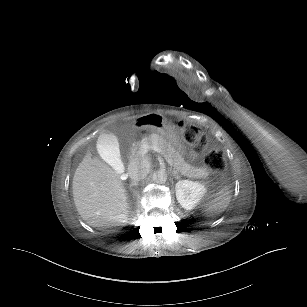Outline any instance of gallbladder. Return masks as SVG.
<instances>
[{
    "label": "gallbladder",
    "mask_w": 307,
    "mask_h": 307,
    "mask_svg": "<svg viewBox=\"0 0 307 307\" xmlns=\"http://www.w3.org/2000/svg\"><path fill=\"white\" fill-rule=\"evenodd\" d=\"M95 147L100 150L101 156L106 158L109 164L113 165L114 172L119 174L121 180L128 178V173L123 171L121 160L118 153V140L114 135L104 134L95 140Z\"/></svg>",
    "instance_id": "bac80fb5"
}]
</instances>
